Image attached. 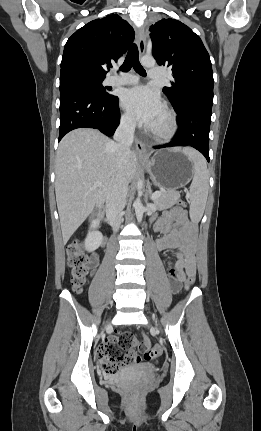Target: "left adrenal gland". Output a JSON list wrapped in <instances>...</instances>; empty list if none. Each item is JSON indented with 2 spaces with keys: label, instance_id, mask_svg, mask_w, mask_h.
Masks as SVG:
<instances>
[{
  "label": "left adrenal gland",
  "instance_id": "obj_1",
  "mask_svg": "<svg viewBox=\"0 0 261 431\" xmlns=\"http://www.w3.org/2000/svg\"><path fill=\"white\" fill-rule=\"evenodd\" d=\"M151 193H152V190H151V184H150V182L148 181L147 182V195H151ZM146 201H147V196H146Z\"/></svg>",
  "mask_w": 261,
  "mask_h": 431
}]
</instances>
